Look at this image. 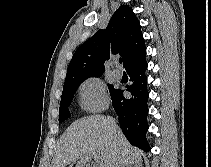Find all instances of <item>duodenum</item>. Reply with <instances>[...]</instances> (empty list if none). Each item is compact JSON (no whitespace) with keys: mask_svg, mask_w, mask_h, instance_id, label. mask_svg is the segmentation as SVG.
I'll return each instance as SVG.
<instances>
[{"mask_svg":"<svg viewBox=\"0 0 211 167\" xmlns=\"http://www.w3.org/2000/svg\"><path fill=\"white\" fill-rule=\"evenodd\" d=\"M86 167H98V166L95 164H90V165H87Z\"/></svg>","mask_w":211,"mask_h":167,"instance_id":"1","label":"duodenum"}]
</instances>
